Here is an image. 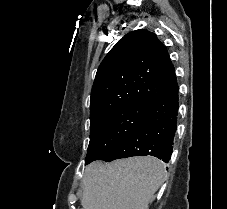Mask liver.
<instances>
[{
    "instance_id": "1",
    "label": "liver",
    "mask_w": 227,
    "mask_h": 209,
    "mask_svg": "<svg viewBox=\"0 0 227 209\" xmlns=\"http://www.w3.org/2000/svg\"><path fill=\"white\" fill-rule=\"evenodd\" d=\"M163 177L164 165L155 157L94 161L85 169L81 205L83 209H148Z\"/></svg>"
}]
</instances>
